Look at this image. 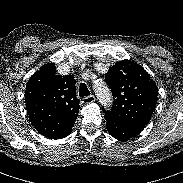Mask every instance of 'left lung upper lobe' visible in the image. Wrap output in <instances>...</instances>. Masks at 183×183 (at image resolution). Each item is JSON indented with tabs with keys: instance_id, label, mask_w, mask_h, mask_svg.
<instances>
[{
	"instance_id": "obj_1",
	"label": "left lung upper lobe",
	"mask_w": 183,
	"mask_h": 183,
	"mask_svg": "<svg viewBox=\"0 0 183 183\" xmlns=\"http://www.w3.org/2000/svg\"><path fill=\"white\" fill-rule=\"evenodd\" d=\"M105 80L114 96V106L104 116L145 127L158 96L150 75L134 61L123 60L110 67Z\"/></svg>"
}]
</instances>
